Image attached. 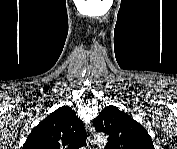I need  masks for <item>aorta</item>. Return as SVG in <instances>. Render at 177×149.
<instances>
[{"mask_svg":"<svg viewBox=\"0 0 177 149\" xmlns=\"http://www.w3.org/2000/svg\"><path fill=\"white\" fill-rule=\"evenodd\" d=\"M97 141H98L99 143H106V142H107V137H106L105 135H99V136L97 137Z\"/></svg>","mask_w":177,"mask_h":149,"instance_id":"aorta-1","label":"aorta"}]
</instances>
